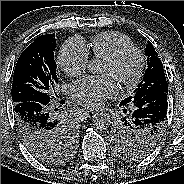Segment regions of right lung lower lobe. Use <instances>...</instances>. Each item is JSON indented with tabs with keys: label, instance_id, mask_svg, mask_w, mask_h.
<instances>
[{
	"label": "right lung lower lobe",
	"instance_id": "right-lung-lower-lobe-1",
	"mask_svg": "<svg viewBox=\"0 0 184 184\" xmlns=\"http://www.w3.org/2000/svg\"><path fill=\"white\" fill-rule=\"evenodd\" d=\"M13 110L18 131L30 152L54 143L59 130L67 125L64 118L51 112L50 103L22 101L14 104Z\"/></svg>",
	"mask_w": 184,
	"mask_h": 184
}]
</instances>
